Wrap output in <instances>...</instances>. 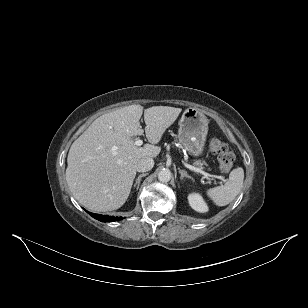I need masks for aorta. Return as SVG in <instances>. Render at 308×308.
I'll list each match as a JSON object with an SVG mask.
<instances>
[{
	"instance_id": "1",
	"label": "aorta",
	"mask_w": 308,
	"mask_h": 308,
	"mask_svg": "<svg viewBox=\"0 0 308 308\" xmlns=\"http://www.w3.org/2000/svg\"><path fill=\"white\" fill-rule=\"evenodd\" d=\"M171 179V172L168 169H162L158 173V180L163 183L169 182Z\"/></svg>"
}]
</instances>
